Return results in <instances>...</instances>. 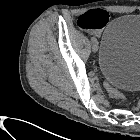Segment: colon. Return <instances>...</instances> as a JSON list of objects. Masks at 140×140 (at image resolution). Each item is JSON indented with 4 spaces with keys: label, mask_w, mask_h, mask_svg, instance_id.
Wrapping results in <instances>:
<instances>
[{
    "label": "colon",
    "mask_w": 140,
    "mask_h": 140,
    "mask_svg": "<svg viewBox=\"0 0 140 140\" xmlns=\"http://www.w3.org/2000/svg\"><path fill=\"white\" fill-rule=\"evenodd\" d=\"M85 17V15H82L80 18H79V21L81 19H83ZM105 89H106V92L108 94V96L112 99H115V100H120V101H125L126 98L125 96L123 95V93L117 89L116 87H114L112 84L110 83H105Z\"/></svg>",
    "instance_id": "obj_1"
}]
</instances>
